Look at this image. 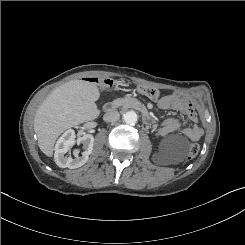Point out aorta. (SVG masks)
<instances>
[{
	"instance_id": "aorta-1",
	"label": "aorta",
	"mask_w": 245,
	"mask_h": 245,
	"mask_svg": "<svg viewBox=\"0 0 245 245\" xmlns=\"http://www.w3.org/2000/svg\"><path fill=\"white\" fill-rule=\"evenodd\" d=\"M123 120L127 124L134 125V124H136V122L138 120V115L136 114L135 111H128V112L124 113Z\"/></svg>"
}]
</instances>
